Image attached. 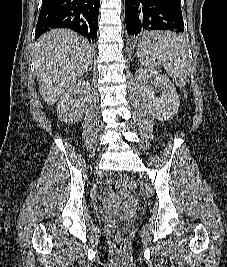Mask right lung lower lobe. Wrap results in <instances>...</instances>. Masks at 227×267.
<instances>
[{
	"instance_id": "1",
	"label": "right lung lower lobe",
	"mask_w": 227,
	"mask_h": 267,
	"mask_svg": "<svg viewBox=\"0 0 227 267\" xmlns=\"http://www.w3.org/2000/svg\"><path fill=\"white\" fill-rule=\"evenodd\" d=\"M99 6L100 0H42L35 40L51 28H69L94 43Z\"/></svg>"
}]
</instances>
